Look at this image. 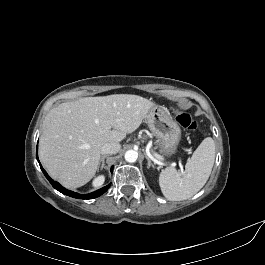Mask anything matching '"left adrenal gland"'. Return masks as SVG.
I'll return each instance as SVG.
<instances>
[{
  "instance_id": "1",
  "label": "left adrenal gland",
  "mask_w": 265,
  "mask_h": 265,
  "mask_svg": "<svg viewBox=\"0 0 265 265\" xmlns=\"http://www.w3.org/2000/svg\"><path fill=\"white\" fill-rule=\"evenodd\" d=\"M146 159H147V161H148V166H147V168H150V167L154 168V164L151 162V160L149 159L148 156H146Z\"/></svg>"
}]
</instances>
